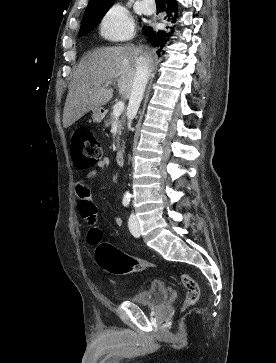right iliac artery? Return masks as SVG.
<instances>
[{
	"mask_svg": "<svg viewBox=\"0 0 276 363\" xmlns=\"http://www.w3.org/2000/svg\"><path fill=\"white\" fill-rule=\"evenodd\" d=\"M129 202L130 200H123V205L127 207L129 205Z\"/></svg>",
	"mask_w": 276,
	"mask_h": 363,
	"instance_id": "obj_1",
	"label": "right iliac artery"
}]
</instances>
